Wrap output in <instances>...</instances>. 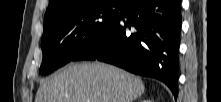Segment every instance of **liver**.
<instances>
[{
  "mask_svg": "<svg viewBox=\"0 0 221 102\" xmlns=\"http://www.w3.org/2000/svg\"><path fill=\"white\" fill-rule=\"evenodd\" d=\"M145 91L142 80L104 63L67 66L40 85L35 102H133Z\"/></svg>",
  "mask_w": 221,
  "mask_h": 102,
  "instance_id": "6515ba94",
  "label": "liver"
}]
</instances>
